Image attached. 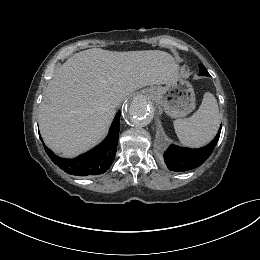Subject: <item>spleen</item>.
Returning <instances> with one entry per match:
<instances>
[{
	"mask_svg": "<svg viewBox=\"0 0 260 260\" xmlns=\"http://www.w3.org/2000/svg\"><path fill=\"white\" fill-rule=\"evenodd\" d=\"M180 142L189 147H201L209 143L220 126V114L217 100L206 92L199 109L189 118L176 119L173 122Z\"/></svg>",
	"mask_w": 260,
	"mask_h": 260,
	"instance_id": "1",
	"label": "spleen"
}]
</instances>
